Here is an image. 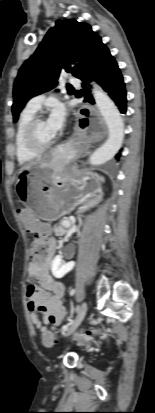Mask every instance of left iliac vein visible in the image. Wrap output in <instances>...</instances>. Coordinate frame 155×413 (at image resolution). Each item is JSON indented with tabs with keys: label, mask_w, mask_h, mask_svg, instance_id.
Returning <instances> with one entry per match:
<instances>
[{
	"label": "left iliac vein",
	"mask_w": 155,
	"mask_h": 413,
	"mask_svg": "<svg viewBox=\"0 0 155 413\" xmlns=\"http://www.w3.org/2000/svg\"><path fill=\"white\" fill-rule=\"evenodd\" d=\"M87 303L83 302L78 310L77 316L76 318L73 320V322L70 324L67 332H66V336L71 335L81 324V322L83 321L84 317L86 316L87 313Z\"/></svg>",
	"instance_id": "obj_1"
}]
</instances>
